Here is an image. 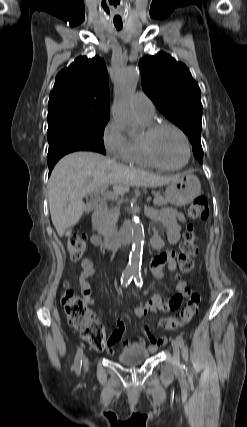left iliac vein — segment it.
I'll list each match as a JSON object with an SVG mask.
<instances>
[{"mask_svg":"<svg viewBox=\"0 0 247 427\" xmlns=\"http://www.w3.org/2000/svg\"><path fill=\"white\" fill-rule=\"evenodd\" d=\"M171 344H172V348H173V359H172L173 365L175 367H179V364H180L179 363V359H180L179 345H180V342L176 338V339L172 340Z\"/></svg>","mask_w":247,"mask_h":427,"instance_id":"obj_1","label":"left iliac vein"}]
</instances>
